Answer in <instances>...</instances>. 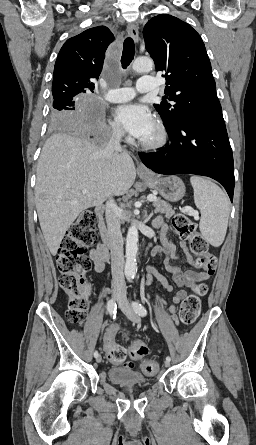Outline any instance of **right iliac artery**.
Returning a JSON list of instances; mask_svg holds the SVG:
<instances>
[{"label":"right iliac artery","instance_id":"right-iliac-artery-1","mask_svg":"<svg viewBox=\"0 0 256 445\" xmlns=\"http://www.w3.org/2000/svg\"><path fill=\"white\" fill-rule=\"evenodd\" d=\"M116 304L114 303L113 300H109L107 303V310L109 312V314L113 317V319H115L116 317ZM99 356L98 351L94 352V357L97 358Z\"/></svg>","mask_w":256,"mask_h":445}]
</instances>
